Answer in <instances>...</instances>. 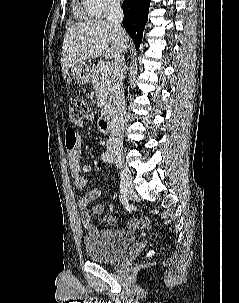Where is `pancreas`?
I'll list each match as a JSON object with an SVG mask.
<instances>
[{
  "label": "pancreas",
  "mask_w": 239,
  "mask_h": 303,
  "mask_svg": "<svg viewBox=\"0 0 239 303\" xmlns=\"http://www.w3.org/2000/svg\"><path fill=\"white\" fill-rule=\"evenodd\" d=\"M101 65H93L90 68L91 82L97 93L98 107L101 113H106L111 107L112 91H111V77L109 74H101Z\"/></svg>",
  "instance_id": "cf45deb5"
}]
</instances>
